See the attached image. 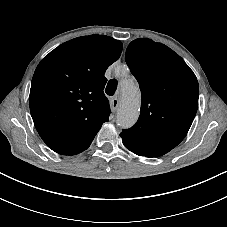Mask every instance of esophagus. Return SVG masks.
<instances>
[{
    "label": "esophagus",
    "instance_id": "34e87169",
    "mask_svg": "<svg viewBox=\"0 0 227 227\" xmlns=\"http://www.w3.org/2000/svg\"><path fill=\"white\" fill-rule=\"evenodd\" d=\"M110 107H111V110L113 112H115L118 109V107H119V99L117 97H114L113 99H111Z\"/></svg>",
    "mask_w": 227,
    "mask_h": 227
}]
</instances>
